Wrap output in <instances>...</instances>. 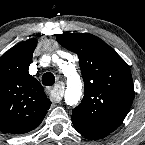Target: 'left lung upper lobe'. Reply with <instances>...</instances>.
<instances>
[{"mask_svg": "<svg viewBox=\"0 0 145 145\" xmlns=\"http://www.w3.org/2000/svg\"><path fill=\"white\" fill-rule=\"evenodd\" d=\"M57 41L76 53L84 79L82 102L72 111V121L109 134L126 117L134 88L126 62L104 41L88 33H63Z\"/></svg>", "mask_w": 145, "mask_h": 145, "instance_id": "left-lung-upper-lobe-1", "label": "left lung upper lobe"}]
</instances>
